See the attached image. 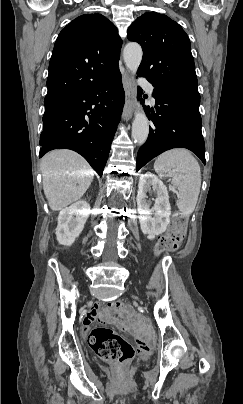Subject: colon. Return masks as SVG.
<instances>
[{
    "label": "colon",
    "mask_w": 243,
    "mask_h": 404,
    "mask_svg": "<svg viewBox=\"0 0 243 404\" xmlns=\"http://www.w3.org/2000/svg\"><path fill=\"white\" fill-rule=\"evenodd\" d=\"M187 216L182 212L173 215L167 232L158 240L155 246L156 255L176 251L186 233ZM109 307L120 314L131 315L132 309L121 300H113L108 303ZM89 341L97 354L107 361L125 364L135 354L131 343L124 337L117 334L110 328L97 327L92 330ZM152 349L150 339H139L137 341V352L148 354Z\"/></svg>",
    "instance_id": "5ec220e1"
}]
</instances>
